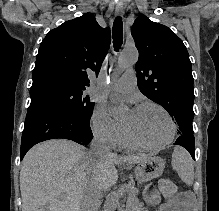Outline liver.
I'll use <instances>...</instances> for the list:
<instances>
[{
  "instance_id": "6515ba94",
  "label": "liver",
  "mask_w": 219,
  "mask_h": 211,
  "mask_svg": "<svg viewBox=\"0 0 219 211\" xmlns=\"http://www.w3.org/2000/svg\"><path fill=\"white\" fill-rule=\"evenodd\" d=\"M89 151L70 139H47L27 151L20 171L22 211H86L98 209L102 193L115 185L119 163H139L145 153L98 159L91 165ZM63 195V197H62Z\"/></svg>"
}]
</instances>
